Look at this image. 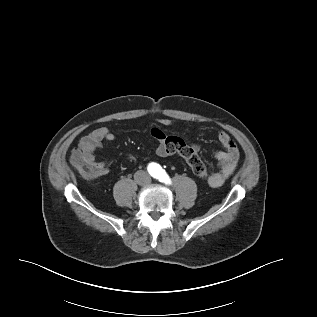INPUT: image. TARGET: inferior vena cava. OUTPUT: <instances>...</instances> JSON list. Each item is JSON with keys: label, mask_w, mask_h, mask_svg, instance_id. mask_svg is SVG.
I'll return each mask as SVG.
<instances>
[{"label": "inferior vena cava", "mask_w": 317, "mask_h": 317, "mask_svg": "<svg viewBox=\"0 0 317 317\" xmlns=\"http://www.w3.org/2000/svg\"><path fill=\"white\" fill-rule=\"evenodd\" d=\"M134 179L135 182L139 185H146L151 181V177L149 176V174L143 170L137 171L134 174Z\"/></svg>", "instance_id": "obj_1"}]
</instances>
